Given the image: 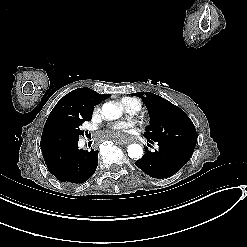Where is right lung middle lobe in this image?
I'll use <instances>...</instances> for the list:
<instances>
[{
	"label": "right lung middle lobe",
	"mask_w": 247,
	"mask_h": 247,
	"mask_svg": "<svg viewBox=\"0 0 247 247\" xmlns=\"http://www.w3.org/2000/svg\"><path fill=\"white\" fill-rule=\"evenodd\" d=\"M84 121L85 120H77L71 125H68L59 130H55L48 136L45 144L41 147V149L50 150L77 142L79 140V135L83 134V131L80 130L79 126Z\"/></svg>",
	"instance_id": "dd1d6c3e"
}]
</instances>
